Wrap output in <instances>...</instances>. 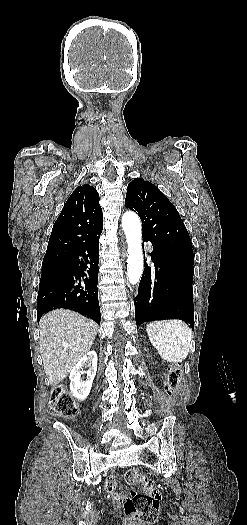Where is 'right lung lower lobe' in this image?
Segmentation results:
<instances>
[{"mask_svg": "<svg viewBox=\"0 0 247 525\" xmlns=\"http://www.w3.org/2000/svg\"><path fill=\"white\" fill-rule=\"evenodd\" d=\"M99 237L85 242L54 264L42 265L37 320L53 309L74 310L100 324L98 302ZM88 274L84 270L88 268ZM85 278L81 281V277Z\"/></svg>", "mask_w": 247, "mask_h": 525, "instance_id": "98d812e1", "label": "right lung lower lobe"}]
</instances>
